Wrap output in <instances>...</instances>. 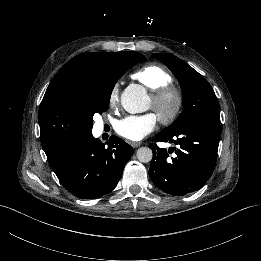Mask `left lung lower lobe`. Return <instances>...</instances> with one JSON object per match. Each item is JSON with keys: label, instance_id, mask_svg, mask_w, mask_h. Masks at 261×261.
<instances>
[{"label": "left lung lower lobe", "instance_id": "0a47b994", "mask_svg": "<svg viewBox=\"0 0 261 261\" xmlns=\"http://www.w3.org/2000/svg\"><path fill=\"white\" fill-rule=\"evenodd\" d=\"M220 136L221 127L210 123L191 125L176 135L159 132L154 142H173L178 145V149L171 160L166 149H161L154 143L149 145L155 148L152 149L153 158L149 169L153 183L175 196L199 190L215 168ZM174 150L175 148L172 152Z\"/></svg>", "mask_w": 261, "mask_h": 261}]
</instances>
